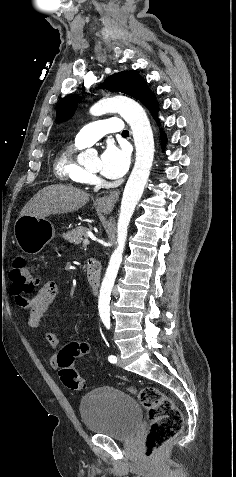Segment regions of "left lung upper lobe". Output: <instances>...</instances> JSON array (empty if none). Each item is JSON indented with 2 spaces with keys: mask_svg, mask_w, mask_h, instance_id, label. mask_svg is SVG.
I'll return each instance as SVG.
<instances>
[{
  "mask_svg": "<svg viewBox=\"0 0 236 477\" xmlns=\"http://www.w3.org/2000/svg\"><path fill=\"white\" fill-rule=\"evenodd\" d=\"M103 87L112 92H121L132 96L146 107H148L154 97L145 80L134 71H123L109 76L105 80ZM78 100V96H72L61 103L57 110V120L59 122L66 121L73 115Z\"/></svg>",
  "mask_w": 236,
  "mask_h": 477,
  "instance_id": "1",
  "label": "left lung upper lobe"
}]
</instances>
